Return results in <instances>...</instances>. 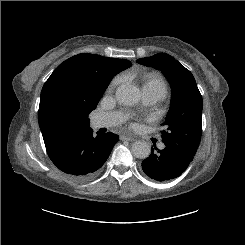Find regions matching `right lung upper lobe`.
<instances>
[{
    "mask_svg": "<svg viewBox=\"0 0 245 245\" xmlns=\"http://www.w3.org/2000/svg\"><path fill=\"white\" fill-rule=\"evenodd\" d=\"M129 66L128 60L81 53L54 70L42 88L38 111L49 157L90 128L88 115L96 108L110 80Z\"/></svg>",
    "mask_w": 245,
    "mask_h": 245,
    "instance_id": "1",
    "label": "right lung upper lobe"
}]
</instances>
